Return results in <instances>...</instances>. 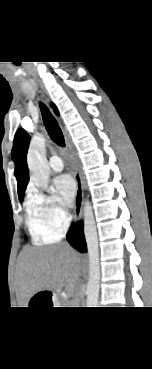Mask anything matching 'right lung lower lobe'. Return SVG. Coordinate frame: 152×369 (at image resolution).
I'll list each match as a JSON object with an SVG mask.
<instances>
[{
	"instance_id": "98d812e1",
	"label": "right lung lower lobe",
	"mask_w": 152,
	"mask_h": 369,
	"mask_svg": "<svg viewBox=\"0 0 152 369\" xmlns=\"http://www.w3.org/2000/svg\"><path fill=\"white\" fill-rule=\"evenodd\" d=\"M69 243L80 252H87L86 242L83 233L82 221L77 224H72L67 234Z\"/></svg>"
}]
</instances>
